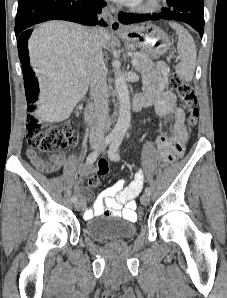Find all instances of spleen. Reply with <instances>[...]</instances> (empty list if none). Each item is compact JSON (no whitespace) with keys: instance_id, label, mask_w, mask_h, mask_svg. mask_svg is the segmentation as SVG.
<instances>
[{"instance_id":"3e777b00","label":"spleen","mask_w":227,"mask_h":298,"mask_svg":"<svg viewBox=\"0 0 227 298\" xmlns=\"http://www.w3.org/2000/svg\"><path fill=\"white\" fill-rule=\"evenodd\" d=\"M169 25L176 30L178 36L177 50L180 62L176 66V73L181 79L189 82L193 79L196 67L197 51L194 40L191 34L180 24L169 22Z\"/></svg>"}]
</instances>
